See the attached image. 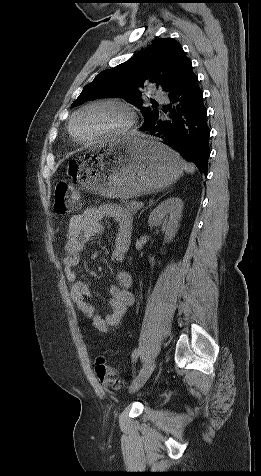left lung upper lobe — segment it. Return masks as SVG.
<instances>
[{
  "mask_svg": "<svg viewBox=\"0 0 261 476\" xmlns=\"http://www.w3.org/2000/svg\"><path fill=\"white\" fill-rule=\"evenodd\" d=\"M192 65L181 45L172 38H158L146 49L113 69L100 72L87 84L72 105L101 97H122L138 107L142 104L141 89L154 83L166 92L179 84ZM145 124L159 114L154 108L140 107Z\"/></svg>",
  "mask_w": 261,
  "mask_h": 476,
  "instance_id": "5c2ea615",
  "label": "left lung upper lobe"
}]
</instances>
